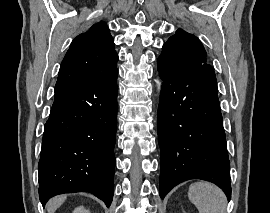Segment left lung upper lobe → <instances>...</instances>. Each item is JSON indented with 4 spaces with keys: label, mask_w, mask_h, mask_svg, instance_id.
<instances>
[{
    "label": "left lung upper lobe",
    "mask_w": 270,
    "mask_h": 213,
    "mask_svg": "<svg viewBox=\"0 0 270 213\" xmlns=\"http://www.w3.org/2000/svg\"><path fill=\"white\" fill-rule=\"evenodd\" d=\"M158 71L166 75L200 74L216 82L214 69L206 63V51L200 40L178 29L164 43L157 59Z\"/></svg>",
    "instance_id": "5c2ea615"
}]
</instances>
